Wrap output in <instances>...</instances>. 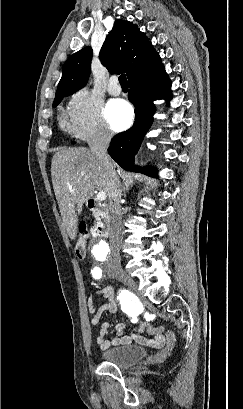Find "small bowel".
Returning a JSON list of instances; mask_svg holds the SVG:
<instances>
[{
  "instance_id": "1",
  "label": "small bowel",
  "mask_w": 243,
  "mask_h": 409,
  "mask_svg": "<svg viewBox=\"0 0 243 409\" xmlns=\"http://www.w3.org/2000/svg\"><path fill=\"white\" fill-rule=\"evenodd\" d=\"M104 299V303L96 307L94 296H91L87 301V307L92 314L91 323L97 325L100 323L101 317L104 313L116 315L118 313V304L115 292L112 288H105L96 293ZM127 312V311H126ZM132 322L138 320L137 312H127ZM137 322V321H136ZM112 325V322H103L96 338L97 344L101 350L108 349L114 346L126 345L131 342H136L141 345H146L151 348L161 349L162 354H168L174 347L176 342L175 333L171 330L164 335L165 327L163 325L153 326L148 321L143 322L138 328L133 329L131 335H125L126 324L122 321H117L115 324V332L118 337L113 339H106V335ZM146 331L150 337L141 335Z\"/></svg>"
}]
</instances>
